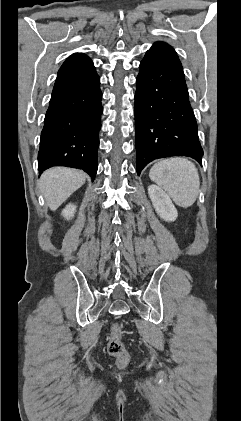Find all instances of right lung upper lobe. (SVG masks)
<instances>
[{
    "instance_id": "obj_1",
    "label": "right lung upper lobe",
    "mask_w": 241,
    "mask_h": 421,
    "mask_svg": "<svg viewBox=\"0 0 241 421\" xmlns=\"http://www.w3.org/2000/svg\"><path fill=\"white\" fill-rule=\"evenodd\" d=\"M84 56H85V55H84V54H82V53H75V54H73V55L69 56V57H68V59H66V61H65L64 63H66V62H68V61H70V60H73V59H75V58L84 57Z\"/></svg>"
}]
</instances>
